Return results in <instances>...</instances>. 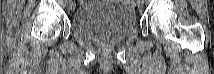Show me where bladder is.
<instances>
[{
  "instance_id": "31cf9c89",
  "label": "bladder",
  "mask_w": 214,
  "mask_h": 74,
  "mask_svg": "<svg viewBox=\"0 0 214 74\" xmlns=\"http://www.w3.org/2000/svg\"><path fill=\"white\" fill-rule=\"evenodd\" d=\"M135 26V12L120 1L85 3L72 17V29L92 41H120L131 33Z\"/></svg>"
}]
</instances>
